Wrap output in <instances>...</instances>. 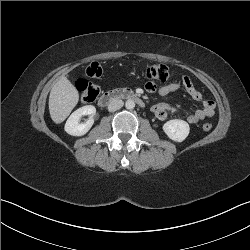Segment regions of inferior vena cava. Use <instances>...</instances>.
<instances>
[{
	"instance_id": "inferior-vena-cava-1",
	"label": "inferior vena cava",
	"mask_w": 250,
	"mask_h": 250,
	"mask_svg": "<svg viewBox=\"0 0 250 250\" xmlns=\"http://www.w3.org/2000/svg\"><path fill=\"white\" fill-rule=\"evenodd\" d=\"M124 105V102L120 99H113L108 104V111L114 112L120 108H122Z\"/></svg>"
}]
</instances>
